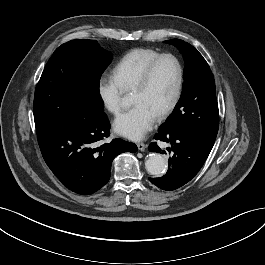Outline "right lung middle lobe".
<instances>
[{
	"instance_id": "right-lung-middle-lobe-1",
	"label": "right lung middle lobe",
	"mask_w": 265,
	"mask_h": 265,
	"mask_svg": "<svg viewBox=\"0 0 265 265\" xmlns=\"http://www.w3.org/2000/svg\"><path fill=\"white\" fill-rule=\"evenodd\" d=\"M112 54L95 40H72L57 48L37 84L33 113L37 134L82 110L103 111L101 74Z\"/></svg>"
}]
</instances>
